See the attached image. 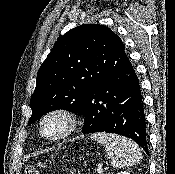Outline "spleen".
<instances>
[{"label": "spleen", "mask_w": 175, "mask_h": 174, "mask_svg": "<svg viewBox=\"0 0 175 174\" xmlns=\"http://www.w3.org/2000/svg\"><path fill=\"white\" fill-rule=\"evenodd\" d=\"M91 139L105 147L111 165L115 168L133 166L142 160V153L138 145L126 137L101 132L92 134Z\"/></svg>", "instance_id": "obj_1"}]
</instances>
